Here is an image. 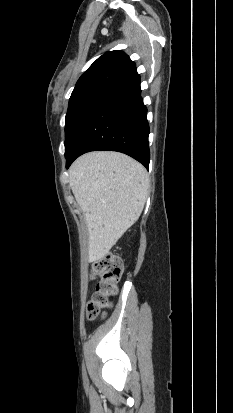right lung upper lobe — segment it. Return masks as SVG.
Listing matches in <instances>:
<instances>
[{"mask_svg":"<svg viewBox=\"0 0 233 413\" xmlns=\"http://www.w3.org/2000/svg\"><path fill=\"white\" fill-rule=\"evenodd\" d=\"M134 68V62L124 52L119 50L107 52L85 71L77 81L75 89L99 79L117 80Z\"/></svg>","mask_w":233,"mask_h":413,"instance_id":"cb5924a9","label":"right lung upper lobe"}]
</instances>
